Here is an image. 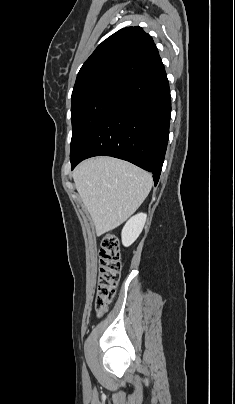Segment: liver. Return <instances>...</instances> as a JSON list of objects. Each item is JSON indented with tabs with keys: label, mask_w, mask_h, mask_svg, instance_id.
Returning <instances> with one entry per match:
<instances>
[{
	"label": "liver",
	"mask_w": 235,
	"mask_h": 404,
	"mask_svg": "<svg viewBox=\"0 0 235 404\" xmlns=\"http://www.w3.org/2000/svg\"><path fill=\"white\" fill-rule=\"evenodd\" d=\"M75 187L94 222L97 235L126 221L148 196L150 173L112 157H96L73 171Z\"/></svg>",
	"instance_id": "6515ba94"
}]
</instances>
